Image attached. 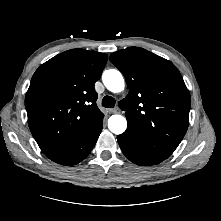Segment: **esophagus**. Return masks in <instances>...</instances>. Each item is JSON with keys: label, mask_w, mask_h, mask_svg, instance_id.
I'll return each instance as SVG.
<instances>
[{"label": "esophagus", "mask_w": 221, "mask_h": 221, "mask_svg": "<svg viewBox=\"0 0 221 221\" xmlns=\"http://www.w3.org/2000/svg\"><path fill=\"white\" fill-rule=\"evenodd\" d=\"M108 112H109L110 114L120 113V109H119L118 107H116V108H113V109H109Z\"/></svg>", "instance_id": "34e87169"}]
</instances>
